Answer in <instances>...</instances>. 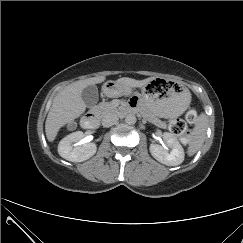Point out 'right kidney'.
Wrapping results in <instances>:
<instances>
[{"label": "right kidney", "instance_id": "obj_1", "mask_svg": "<svg viewBox=\"0 0 243 243\" xmlns=\"http://www.w3.org/2000/svg\"><path fill=\"white\" fill-rule=\"evenodd\" d=\"M81 131L73 132L64 137L58 145L59 155L71 162H83L92 157L97 150L96 144L87 142Z\"/></svg>", "mask_w": 243, "mask_h": 243}]
</instances>
